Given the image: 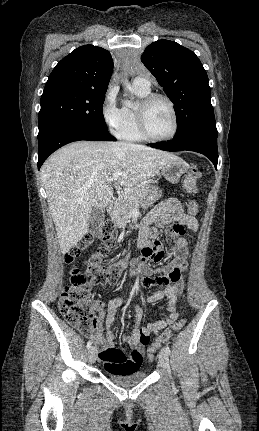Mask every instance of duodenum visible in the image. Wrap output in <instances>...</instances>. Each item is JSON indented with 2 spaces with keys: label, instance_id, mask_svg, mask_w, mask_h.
Instances as JSON below:
<instances>
[{
  "label": "duodenum",
  "instance_id": "obj_1",
  "mask_svg": "<svg viewBox=\"0 0 259 431\" xmlns=\"http://www.w3.org/2000/svg\"><path fill=\"white\" fill-rule=\"evenodd\" d=\"M117 203L118 202L116 199L111 200L109 207H108L109 212H113L116 209Z\"/></svg>",
  "mask_w": 259,
  "mask_h": 431
}]
</instances>
